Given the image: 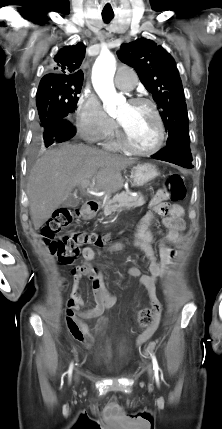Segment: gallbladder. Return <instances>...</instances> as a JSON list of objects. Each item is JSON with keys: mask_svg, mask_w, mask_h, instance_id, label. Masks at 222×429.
<instances>
[{"mask_svg": "<svg viewBox=\"0 0 222 429\" xmlns=\"http://www.w3.org/2000/svg\"><path fill=\"white\" fill-rule=\"evenodd\" d=\"M80 202V199L77 197H74L73 195H69L66 200L62 203L63 207H76L78 206Z\"/></svg>", "mask_w": 222, "mask_h": 429, "instance_id": "obj_1", "label": "gallbladder"}]
</instances>
